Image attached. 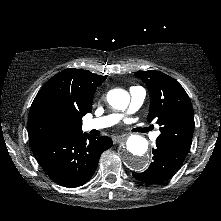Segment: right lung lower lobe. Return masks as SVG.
Segmentation results:
<instances>
[{
    "mask_svg": "<svg viewBox=\"0 0 221 221\" xmlns=\"http://www.w3.org/2000/svg\"><path fill=\"white\" fill-rule=\"evenodd\" d=\"M112 144L109 137L75 133L38 140L30 146L52 180L63 186L78 187L89 181L102 152Z\"/></svg>",
    "mask_w": 221,
    "mask_h": 221,
    "instance_id": "1",
    "label": "right lung lower lobe"
}]
</instances>
